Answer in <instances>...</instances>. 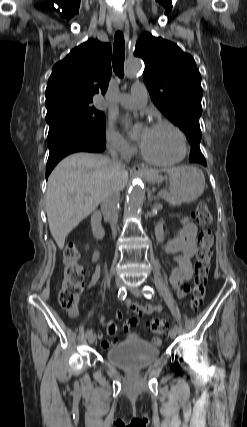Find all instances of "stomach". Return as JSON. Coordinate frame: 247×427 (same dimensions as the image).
Returning a JSON list of instances; mask_svg holds the SVG:
<instances>
[{
  "label": "stomach",
  "mask_w": 247,
  "mask_h": 427,
  "mask_svg": "<svg viewBox=\"0 0 247 427\" xmlns=\"http://www.w3.org/2000/svg\"><path fill=\"white\" fill-rule=\"evenodd\" d=\"M146 179L151 183L168 180L171 195L181 203L196 201L202 195L205 187L203 172L194 166H180L169 169L165 176L153 174Z\"/></svg>",
  "instance_id": "stomach-1"
}]
</instances>
